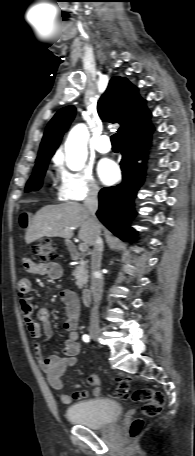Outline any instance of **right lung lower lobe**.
Instances as JSON below:
<instances>
[{"mask_svg": "<svg viewBox=\"0 0 195 456\" xmlns=\"http://www.w3.org/2000/svg\"><path fill=\"white\" fill-rule=\"evenodd\" d=\"M151 128L149 123L122 139L120 165L123 181L117 186L105 187L99 193L98 218L111 232L124 240L134 237V230L128 227V222L135 215L133 200L145 176L144 166L137 161L145 157Z\"/></svg>", "mask_w": 195, "mask_h": 456, "instance_id": "1", "label": "right lung lower lobe"}]
</instances>
